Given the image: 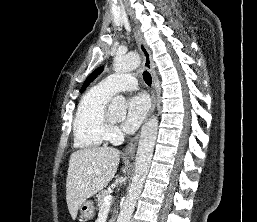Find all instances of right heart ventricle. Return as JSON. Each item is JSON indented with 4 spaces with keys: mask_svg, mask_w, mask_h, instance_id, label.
Here are the masks:
<instances>
[{
    "mask_svg": "<svg viewBox=\"0 0 257 222\" xmlns=\"http://www.w3.org/2000/svg\"><path fill=\"white\" fill-rule=\"evenodd\" d=\"M112 95L99 86L91 88L80 100L73 121L75 145L83 149L101 147L109 138L105 122L107 104Z\"/></svg>",
    "mask_w": 257,
    "mask_h": 222,
    "instance_id": "1",
    "label": "right heart ventricle"
}]
</instances>
